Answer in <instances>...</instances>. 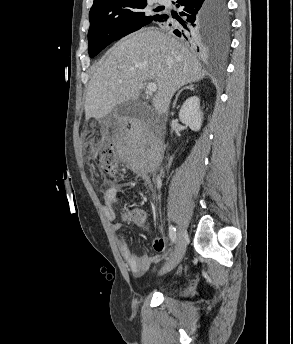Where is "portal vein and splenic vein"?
Here are the masks:
<instances>
[{"label": "portal vein and splenic vein", "instance_id": "portal-vein-and-splenic-vein-1", "mask_svg": "<svg viewBox=\"0 0 293 344\" xmlns=\"http://www.w3.org/2000/svg\"><path fill=\"white\" fill-rule=\"evenodd\" d=\"M146 89L149 93H153V92L157 91V85L155 83H148L146 85Z\"/></svg>", "mask_w": 293, "mask_h": 344}]
</instances>
